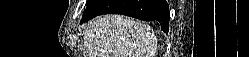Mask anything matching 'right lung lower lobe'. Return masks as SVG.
I'll return each instance as SVG.
<instances>
[{
    "label": "right lung lower lobe",
    "instance_id": "obj_1",
    "mask_svg": "<svg viewBox=\"0 0 249 57\" xmlns=\"http://www.w3.org/2000/svg\"><path fill=\"white\" fill-rule=\"evenodd\" d=\"M123 14L140 20H156L161 29L168 32L169 7L165 0H91L81 22L101 14Z\"/></svg>",
    "mask_w": 249,
    "mask_h": 57
}]
</instances>
